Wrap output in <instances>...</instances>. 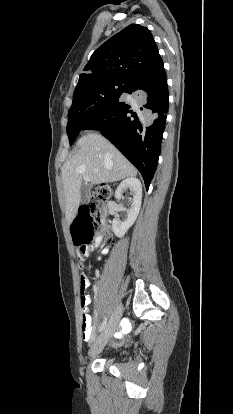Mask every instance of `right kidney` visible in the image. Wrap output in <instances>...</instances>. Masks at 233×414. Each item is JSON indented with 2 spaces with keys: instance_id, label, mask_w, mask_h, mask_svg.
<instances>
[{
  "instance_id": "1",
  "label": "right kidney",
  "mask_w": 233,
  "mask_h": 414,
  "mask_svg": "<svg viewBox=\"0 0 233 414\" xmlns=\"http://www.w3.org/2000/svg\"><path fill=\"white\" fill-rule=\"evenodd\" d=\"M128 188L132 192L133 198L130 199L131 207L128 209L127 219L125 221H121L115 218L112 221L113 232L119 238L123 237L127 230L134 224L141 208L142 185L141 182L135 177H129L119 184L115 191L116 200L119 201L122 198L124 190Z\"/></svg>"
}]
</instances>
